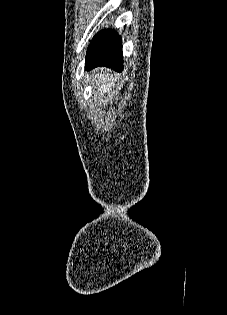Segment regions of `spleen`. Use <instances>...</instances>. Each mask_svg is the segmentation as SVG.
<instances>
[{
  "label": "spleen",
  "mask_w": 227,
  "mask_h": 315,
  "mask_svg": "<svg viewBox=\"0 0 227 315\" xmlns=\"http://www.w3.org/2000/svg\"><path fill=\"white\" fill-rule=\"evenodd\" d=\"M116 82L117 78L114 75L104 74V72L100 73L97 79H95L96 93L104 95L115 87Z\"/></svg>",
  "instance_id": "3e777b00"
}]
</instances>
